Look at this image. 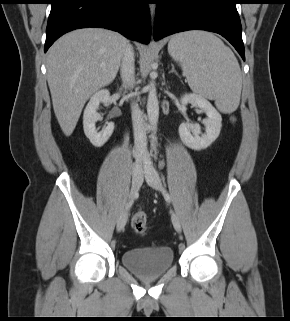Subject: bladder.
<instances>
[{
	"label": "bladder",
	"mask_w": 290,
	"mask_h": 321,
	"mask_svg": "<svg viewBox=\"0 0 290 321\" xmlns=\"http://www.w3.org/2000/svg\"><path fill=\"white\" fill-rule=\"evenodd\" d=\"M123 265L143 278L164 274L173 264L174 253L170 248H139L122 253Z\"/></svg>",
	"instance_id": "31cf9c89"
}]
</instances>
